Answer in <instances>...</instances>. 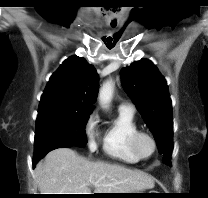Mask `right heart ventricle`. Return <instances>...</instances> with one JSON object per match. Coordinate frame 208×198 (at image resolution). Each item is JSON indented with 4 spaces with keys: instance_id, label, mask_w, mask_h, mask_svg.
<instances>
[{
    "instance_id": "e07e8e85",
    "label": "right heart ventricle",
    "mask_w": 208,
    "mask_h": 198,
    "mask_svg": "<svg viewBox=\"0 0 208 198\" xmlns=\"http://www.w3.org/2000/svg\"><path fill=\"white\" fill-rule=\"evenodd\" d=\"M139 131L133 113L119 110L116 119L106 127L103 134V150L111 159L135 164L141 159L131 146L132 136Z\"/></svg>"
}]
</instances>
